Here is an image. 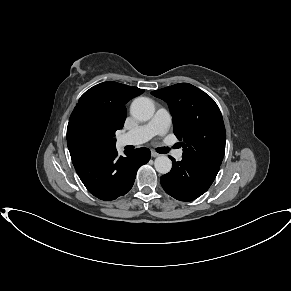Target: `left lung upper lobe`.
Instances as JSON below:
<instances>
[{
	"label": "left lung upper lobe",
	"instance_id": "5c2ea615",
	"mask_svg": "<svg viewBox=\"0 0 291 291\" xmlns=\"http://www.w3.org/2000/svg\"><path fill=\"white\" fill-rule=\"evenodd\" d=\"M152 94L169 106L174 134L183 141L182 158L203 167L220 169L226 132L215 101L188 83L175 84Z\"/></svg>",
	"mask_w": 291,
	"mask_h": 291
}]
</instances>
